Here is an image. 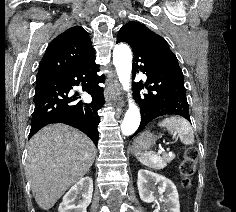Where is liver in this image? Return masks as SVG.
Instances as JSON below:
<instances>
[{
	"label": "liver",
	"mask_w": 236,
	"mask_h": 212,
	"mask_svg": "<svg viewBox=\"0 0 236 212\" xmlns=\"http://www.w3.org/2000/svg\"><path fill=\"white\" fill-rule=\"evenodd\" d=\"M95 155L93 142L66 124L37 132L29 141L26 174L38 206L51 209L89 171Z\"/></svg>",
	"instance_id": "liver-1"
}]
</instances>
